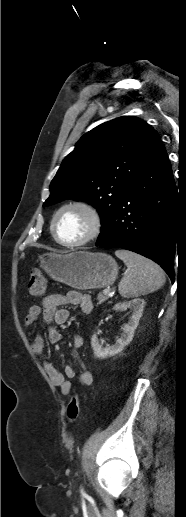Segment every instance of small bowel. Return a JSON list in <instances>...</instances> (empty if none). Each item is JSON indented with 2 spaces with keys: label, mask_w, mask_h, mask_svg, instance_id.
Wrapping results in <instances>:
<instances>
[{
  "label": "small bowel",
  "mask_w": 186,
  "mask_h": 517,
  "mask_svg": "<svg viewBox=\"0 0 186 517\" xmlns=\"http://www.w3.org/2000/svg\"><path fill=\"white\" fill-rule=\"evenodd\" d=\"M65 305H78L82 312L90 313L93 309L91 297L77 291H71L66 294H53L43 298L40 304L32 305L24 319L25 327H30L43 315L45 321L54 322L56 324H64L70 317L68 309L63 308ZM62 335L55 327L48 329V341L52 344L60 342ZM83 338L80 335H74L72 339V355L78 360V349L83 346ZM33 352L37 355L44 353L45 344L41 335H36L32 341ZM44 369L54 386L60 388L63 395H69L72 391V380L78 381L89 386L93 382L92 373L82 365L81 372L77 375L75 369L71 365L64 367V374L60 373L52 363L44 362Z\"/></svg>",
  "instance_id": "1"
}]
</instances>
